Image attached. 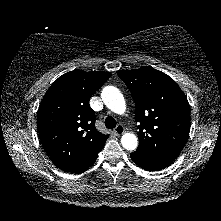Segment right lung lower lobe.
<instances>
[{"instance_id":"98d812e1","label":"right lung lower lobe","mask_w":221,"mask_h":221,"mask_svg":"<svg viewBox=\"0 0 221 221\" xmlns=\"http://www.w3.org/2000/svg\"><path fill=\"white\" fill-rule=\"evenodd\" d=\"M97 157H98V153L90 161H88L83 167H81L80 169H78L77 171H75L73 173H81V172L87 170L90 166L93 165V163L96 161Z\"/></svg>"}]
</instances>
